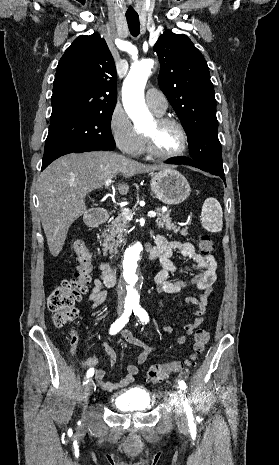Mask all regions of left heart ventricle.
Returning a JSON list of instances; mask_svg holds the SVG:
<instances>
[{
	"mask_svg": "<svg viewBox=\"0 0 279 465\" xmlns=\"http://www.w3.org/2000/svg\"><path fill=\"white\" fill-rule=\"evenodd\" d=\"M145 133L153 135L155 147L162 153H172L177 151L181 146V135L174 125H165L159 127L154 121Z\"/></svg>",
	"mask_w": 279,
	"mask_h": 465,
	"instance_id": "left-heart-ventricle-1",
	"label": "left heart ventricle"
}]
</instances>
